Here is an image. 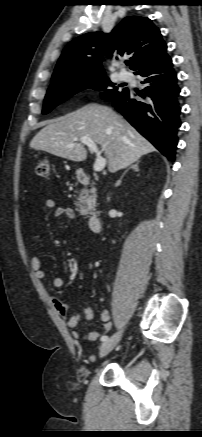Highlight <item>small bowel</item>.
<instances>
[{"label":"small bowel","instance_id":"c3829d8e","mask_svg":"<svg viewBox=\"0 0 202 437\" xmlns=\"http://www.w3.org/2000/svg\"><path fill=\"white\" fill-rule=\"evenodd\" d=\"M46 207L54 210V216L56 218L75 219L76 213L70 207L58 206L54 199L46 200ZM31 268L36 278L42 280L45 279L46 273L42 269V262L38 255H34L31 259ZM53 286L55 288H61L63 286V280L60 277H56L53 280ZM55 311L63 318L66 319L67 326L72 329V336L75 339L83 338L86 340H96L100 333H108L112 329L111 314L108 310L104 309L101 312L100 318L102 320V326L100 330H94L85 334H80L76 329L81 318L87 321H91L94 317V312L90 307L82 308L78 313L69 315L68 306L58 297L51 298Z\"/></svg>","mask_w":202,"mask_h":437}]
</instances>
